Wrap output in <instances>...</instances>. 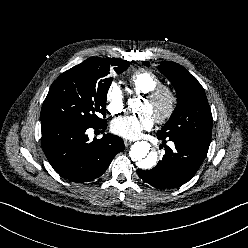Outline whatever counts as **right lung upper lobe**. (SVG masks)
Listing matches in <instances>:
<instances>
[{"label":"right lung upper lobe","mask_w":248,"mask_h":248,"mask_svg":"<svg viewBox=\"0 0 248 248\" xmlns=\"http://www.w3.org/2000/svg\"><path fill=\"white\" fill-rule=\"evenodd\" d=\"M122 60L110 59V58H99V57H91L82 62V64L86 65H96V64H106L110 66H115L120 64Z\"/></svg>","instance_id":"cb5924a9"}]
</instances>
